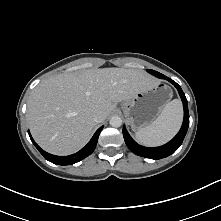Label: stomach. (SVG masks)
I'll use <instances>...</instances> for the list:
<instances>
[{
	"mask_svg": "<svg viewBox=\"0 0 221 221\" xmlns=\"http://www.w3.org/2000/svg\"><path fill=\"white\" fill-rule=\"evenodd\" d=\"M172 94L169 86L159 82L124 101L121 108L132 130L150 125L170 101Z\"/></svg>",
	"mask_w": 221,
	"mask_h": 221,
	"instance_id": "obj_1",
	"label": "stomach"
}]
</instances>
